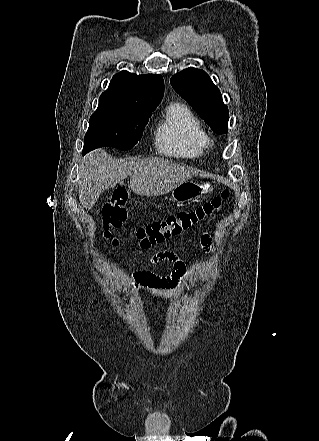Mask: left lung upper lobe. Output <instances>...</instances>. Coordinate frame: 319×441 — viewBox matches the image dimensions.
<instances>
[{"label": "left lung upper lobe", "mask_w": 319, "mask_h": 441, "mask_svg": "<svg viewBox=\"0 0 319 441\" xmlns=\"http://www.w3.org/2000/svg\"><path fill=\"white\" fill-rule=\"evenodd\" d=\"M170 83L215 133L228 132V108L205 71L192 67L184 69L173 75Z\"/></svg>", "instance_id": "obj_1"}]
</instances>
